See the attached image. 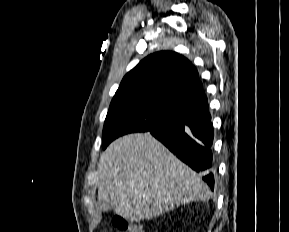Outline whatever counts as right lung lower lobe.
<instances>
[{"instance_id":"98d812e1","label":"right lung lower lobe","mask_w":289,"mask_h":232,"mask_svg":"<svg viewBox=\"0 0 289 232\" xmlns=\"http://www.w3.org/2000/svg\"><path fill=\"white\" fill-rule=\"evenodd\" d=\"M149 132L193 170L203 173V180L214 189L213 125L208 105L184 110Z\"/></svg>"}]
</instances>
